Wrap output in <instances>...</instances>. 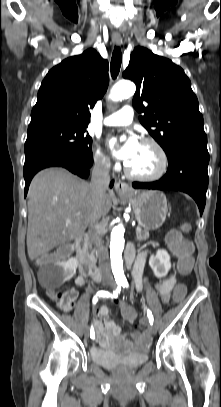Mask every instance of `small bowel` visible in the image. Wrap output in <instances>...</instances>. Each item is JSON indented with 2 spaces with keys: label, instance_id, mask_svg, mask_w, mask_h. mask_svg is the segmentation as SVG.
Segmentation results:
<instances>
[{
  "label": "small bowel",
  "instance_id": "c3829d8e",
  "mask_svg": "<svg viewBox=\"0 0 221 407\" xmlns=\"http://www.w3.org/2000/svg\"><path fill=\"white\" fill-rule=\"evenodd\" d=\"M147 258L146 252H141L135 261L134 268H133V281L138 290H141L143 287V271L144 266ZM43 259V258H42ZM75 282L79 286H83L85 284V279L83 276H78L75 279ZM177 279L175 274L168 275L164 280L157 282L155 287L158 291V294L161 300L166 303L170 300L169 295L171 292V288L173 285H176ZM68 293L75 299L78 296L77 291L69 290ZM114 303L117 304L119 307L121 305H129L124 300L112 297ZM96 314L102 319V321L95 320L94 322V332L97 336V342L102 348H108L112 345L114 339L118 338L123 344L126 346H130V342L125 340L124 334L122 329L119 325H117L109 316V309L107 306H100L96 310ZM134 337L136 339H142L143 333L141 331H136L134 333Z\"/></svg>",
  "mask_w": 221,
  "mask_h": 407
}]
</instances>
